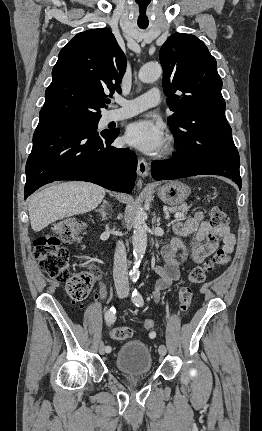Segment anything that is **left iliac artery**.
I'll use <instances>...</instances> for the list:
<instances>
[{"mask_svg":"<svg viewBox=\"0 0 262 431\" xmlns=\"http://www.w3.org/2000/svg\"><path fill=\"white\" fill-rule=\"evenodd\" d=\"M132 301L138 307L143 306V304H144L143 297L140 294V292L138 291V289H136V288L132 292Z\"/></svg>","mask_w":262,"mask_h":431,"instance_id":"obj_1","label":"left iliac artery"}]
</instances>
